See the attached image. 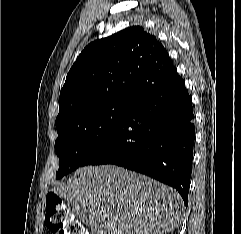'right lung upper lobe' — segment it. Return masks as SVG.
Here are the masks:
<instances>
[{"label": "right lung upper lobe", "instance_id": "obj_1", "mask_svg": "<svg viewBox=\"0 0 241 234\" xmlns=\"http://www.w3.org/2000/svg\"><path fill=\"white\" fill-rule=\"evenodd\" d=\"M173 67L163 45L141 26L90 43L77 57L60 92L56 128L92 106L131 104Z\"/></svg>", "mask_w": 241, "mask_h": 234}]
</instances>
